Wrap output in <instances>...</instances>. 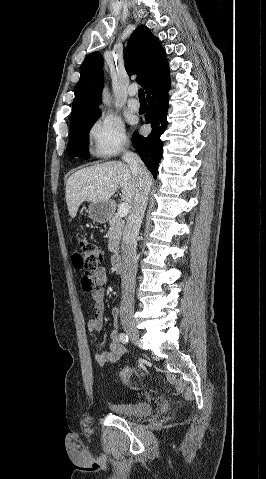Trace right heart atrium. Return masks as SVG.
<instances>
[{
    "label": "right heart atrium",
    "mask_w": 266,
    "mask_h": 479,
    "mask_svg": "<svg viewBox=\"0 0 266 479\" xmlns=\"http://www.w3.org/2000/svg\"><path fill=\"white\" fill-rule=\"evenodd\" d=\"M88 137L93 152L101 157L116 156L127 144L123 125L110 116L98 118L90 127Z\"/></svg>",
    "instance_id": "d8ad5b80"
}]
</instances>
